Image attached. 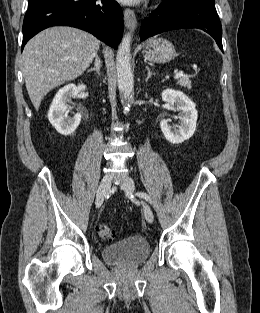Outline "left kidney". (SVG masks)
I'll list each match as a JSON object with an SVG mask.
<instances>
[{
  "label": "left kidney",
  "mask_w": 260,
  "mask_h": 313,
  "mask_svg": "<svg viewBox=\"0 0 260 313\" xmlns=\"http://www.w3.org/2000/svg\"><path fill=\"white\" fill-rule=\"evenodd\" d=\"M162 100L171 107L174 105L180 111V126L178 128L168 124V121L163 119L160 122V127L165 138L173 144H180L185 140L190 139L195 130L198 113L195 108V103L191 101L183 92L173 89H166L162 92Z\"/></svg>",
  "instance_id": "obj_1"
}]
</instances>
